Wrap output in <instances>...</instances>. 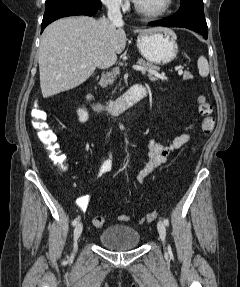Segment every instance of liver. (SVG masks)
Here are the masks:
<instances>
[{"mask_svg":"<svg viewBox=\"0 0 240 287\" xmlns=\"http://www.w3.org/2000/svg\"><path fill=\"white\" fill-rule=\"evenodd\" d=\"M122 23L88 16L59 19L44 30L38 51L40 87L44 98L85 82L97 67L113 65L126 46ZM153 27L134 32H153Z\"/></svg>","mask_w":240,"mask_h":287,"instance_id":"obj_1","label":"liver"}]
</instances>
